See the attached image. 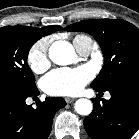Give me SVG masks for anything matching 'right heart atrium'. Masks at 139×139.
<instances>
[{
    "instance_id": "1",
    "label": "right heart atrium",
    "mask_w": 139,
    "mask_h": 139,
    "mask_svg": "<svg viewBox=\"0 0 139 139\" xmlns=\"http://www.w3.org/2000/svg\"><path fill=\"white\" fill-rule=\"evenodd\" d=\"M27 62L32 71L41 73L49 66L48 43L46 39L36 41L27 53Z\"/></svg>"
}]
</instances>
